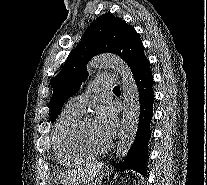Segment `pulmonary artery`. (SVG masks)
<instances>
[{
  "instance_id": "obj_1",
  "label": "pulmonary artery",
  "mask_w": 207,
  "mask_h": 185,
  "mask_svg": "<svg viewBox=\"0 0 207 185\" xmlns=\"http://www.w3.org/2000/svg\"><path fill=\"white\" fill-rule=\"evenodd\" d=\"M120 77H97L96 81H90V86H86V91H114V86H120ZM92 86V87H91ZM88 98L86 95H79L72 98L66 105V110L82 114Z\"/></svg>"
}]
</instances>
